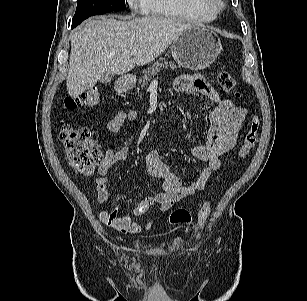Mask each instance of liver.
<instances>
[{
  "label": "liver",
  "instance_id": "1",
  "mask_svg": "<svg viewBox=\"0 0 307 301\" xmlns=\"http://www.w3.org/2000/svg\"><path fill=\"white\" fill-rule=\"evenodd\" d=\"M191 24L160 16L129 21L93 19L71 36L69 73L70 97L94 87L106 72L123 75L135 65H145L158 56ZM136 51L134 58L130 52Z\"/></svg>",
  "mask_w": 307,
  "mask_h": 301
}]
</instances>
